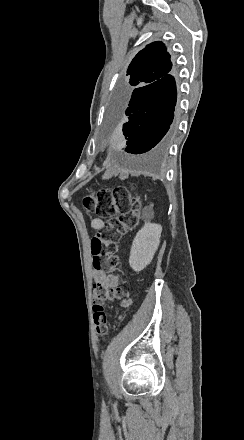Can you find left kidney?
I'll use <instances>...</instances> for the list:
<instances>
[{"mask_svg":"<svg viewBox=\"0 0 244 440\" xmlns=\"http://www.w3.org/2000/svg\"><path fill=\"white\" fill-rule=\"evenodd\" d=\"M161 232L162 226H159V224H145L137 232L129 256L130 268L134 272H141L152 262L160 244Z\"/></svg>","mask_w":244,"mask_h":440,"instance_id":"obj_1","label":"left kidney"}]
</instances>
